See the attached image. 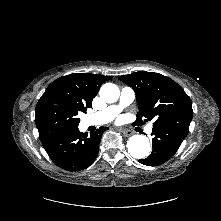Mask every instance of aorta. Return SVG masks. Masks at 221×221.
Returning <instances> with one entry per match:
<instances>
[{
	"label": "aorta",
	"instance_id": "1",
	"mask_svg": "<svg viewBox=\"0 0 221 221\" xmlns=\"http://www.w3.org/2000/svg\"><path fill=\"white\" fill-rule=\"evenodd\" d=\"M99 95L106 103H114L118 100L120 90L113 83H106L101 86ZM128 152L136 159H143L150 154L151 147L147 137L143 135H133L127 142Z\"/></svg>",
	"mask_w": 221,
	"mask_h": 221
}]
</instances>
